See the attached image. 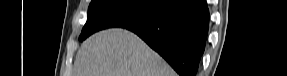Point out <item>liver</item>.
<instances>
[{"label":"liver","mask_w":287,"mask_h":76,"mask_svg":"<svg viewBox=\"0 0 287 76\" xmlns=\"http://www.w3.org/2000/svg\"><path fill=\"white\" fill-rule=\"evenodd\" d=\"M74 76H176L173 69L134 33L120 29L98 32L83 42Z\"/></svg>","instance_id":"6515ba94"}]
</instances>
